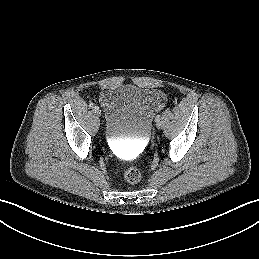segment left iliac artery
<instances>
[{
	"label": "left iliac artery",
	"mask_w": 259,
	"mask_h": 259,
	"mask_svg": "<svg viewBox=\"0 0 259 259\" xmlns=\"http://www.w3.org/2000/svg\"><path fill=\"white\" fill-rule=\"evenodd\" d=\"M160 120H161V116H160V115H157L156 118H155V121H156V122H160Z\"/></svg>",
	"instance_id": "obj_1"
}]
</instances>
